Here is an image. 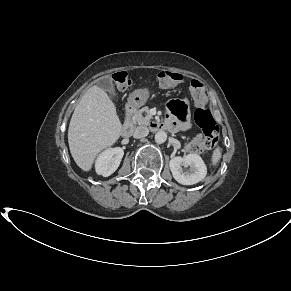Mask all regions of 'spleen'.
<instances>
[{"label": "spleen", "instance_id": "obj_1", "mask_svg": "<svg viewBox=\"0 0 291 291\" xmlns=\"http://www.w3.org/2000/svg\"><path fill=\"white\" fill-rule=\"evenodd\" d=\"M221 156H222V151H221V148L220 147H217L213 153H212V156H211V163L213 166H216L220 159H221Z\"/></svg>", "mask_w": 291, "mask_h": 291}]
</instances>
